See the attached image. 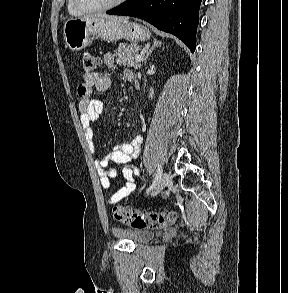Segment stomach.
Returning <instances> with one entry per match:
<instances>
[{
	"instance_id": "1",
	"label": "stomach",
	"mask_w": 288,
	"mask_h": 293,
	"mask_svg": "<svg viewBox=\"0 0 288 293\" xmlns=\"http://www.w3.org/2000/svg\"><path fill=\"white\" fill-rule=\"evenodd\" d=\"M150 36V31L136 22H118L103 17L70 18L63 29L65 45L72 51H80L91 45L95 37L108 42L122 38L138 42L148 40Z\"/></svg>"
}]
</instances>
